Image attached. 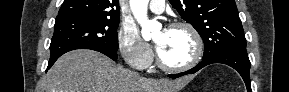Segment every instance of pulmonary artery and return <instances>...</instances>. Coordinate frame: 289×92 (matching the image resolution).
Masks as SVG:
<instances>
[{
    "instance_id": "e3ab8cb5",
    "label": "pulmonary artery",
    "mask_w": 289,
    "mask_h": 92,
    "mask_svg": "<svg viewBox=\"0 0 289 92\" xmlns=\"http://www.w3.org/2000/svg\"><path fill=\"white\" fill-rule=\"evenodd\" d=\"M149 9L156 14H160L165 9V1L164 0H151L149 3Z\"/></svg>"
}]
</instances>
